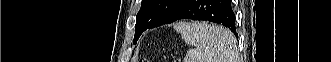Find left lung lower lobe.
<instances>
[{"instance_id": "left-lung-lower-lobe-1", "label": "left lung lower lobe", "mask_w": 331, "mask_h": 62, "mask_svg": "<svg viewBox=\"0 0 331 62\" xmlns=\"http://www.w3.org/2000/svg\"><path fill=\"white\" fill-rule=\"evenodd\" d=\"M180 19L205 20L218 23L229 28L238 37L231 0H184L164 24H170ZM146 29H149L148 25L138 28L134 42Z\"/></svg>"}]
</instances>
